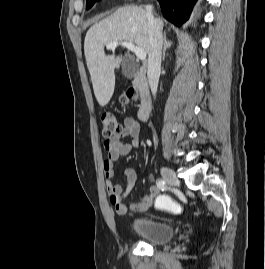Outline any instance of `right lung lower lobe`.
Segmentation results:
<instances>
[{"instance_id": "right-lung-lower-lobe-1", "label": "right lung lower lobe", "mask_w": 265, "mask_h": 269, "mask_svg": "<svg viewBox=\"0 0 265 269\" xmlns=\"http://www.w3.org/2000/svg\"><path fill=\"white\" fill-rule=\"evenodd\" d=\"M164 17L180 26L188 20L197 0H158Z\"/></svg>"}]
</instances>
